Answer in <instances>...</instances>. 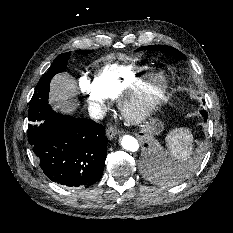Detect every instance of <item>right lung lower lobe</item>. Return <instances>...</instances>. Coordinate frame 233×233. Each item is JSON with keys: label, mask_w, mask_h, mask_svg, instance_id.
Instances as JSON below:
<instances>
[{"label": "right lung lower lobe", "mask_w": 233, "mask_h": 233, "mask_svg": "<svg viewBox=\"0 0 233 233\" xmlns=\"http://www.w3.org/2000/svg\"><path fill=\"white\" fill-rule=\"evenodd\" d=\"M107 143L102 125L52 112L32 146L50 180L68 187H88L102 176Z\"/></svg>", "instance_id": "obj_1"}]
</instances>
